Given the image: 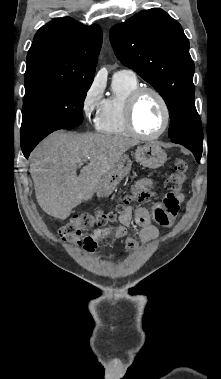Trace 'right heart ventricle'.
I'll use <instances>...</instances> for the list:
<instances>
[{
    "mask_svg": "<svg viewBox=\"0 0 221 379\" xmlns=\"http://www.w3.org/2000/svg\"><path fill=\"white\" fill-rule=\"evenodd\" d=\"M140 87L136 77L114 75L112 92L105 99L104 105L95 120L99 132L111 135H127L125 122V103L130 93Z\"/></svg>",
    "mask_w": 221,
    "mask_h": 379,
    "instance_id": "e07e8e85",
    "label": "right heart ventricle"
}]
</instances>
